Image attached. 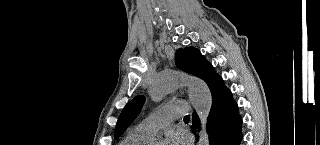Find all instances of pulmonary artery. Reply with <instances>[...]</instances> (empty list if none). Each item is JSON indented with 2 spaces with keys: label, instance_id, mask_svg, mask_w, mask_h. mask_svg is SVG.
Wrapping results in <instances>:
<instances>
[{
  "label": "pulmonary artery",
  "instance_id": "1",
  "mask_svg": "<svg viewBox=\"0 0 320 145\" xmlns=\"http://www.w3.org/2000/svg\"><path fill=\"white\" fill-rule=\"evenodd\" d=\"M187 113L186 103L175 101L159 107L153 114L141 121L135 130L152 138L159 129L168 125L172 120L184 116Z\"/></svg>",
  "mask_w": 320,
  "mask_h": 145
}]
</instances>
